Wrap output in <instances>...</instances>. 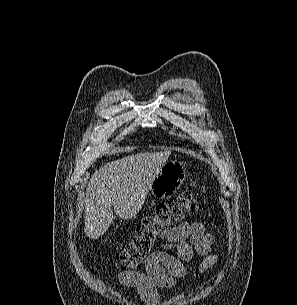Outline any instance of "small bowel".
<instances>
[{
	"mask_svg": "<svg viewBox=\"0 0 297 305\" xmlns=\"http://www.w3.org/2000/svg\"><path fill=\"white\" fill-rule=\"evenodd\" d=\"M161 238L162 249L146 259L144 272L122 271L117 275L121 285L136 290L148 305L158 303L159 288H170L188 274L187 264L196 254L204 258L193 277L212 268L220 256L213 235L198 221H183L165 230Z\"/></svg>",
	"mask_w": 297,
	"mask_h": 305,
	"instance_id": "1",
	"label": "small bowel"
}]
</instances>
